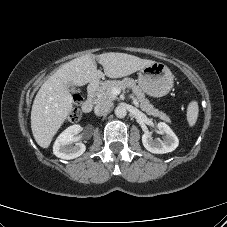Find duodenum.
<instances>
[{"instance_id":"1","label":"duodenum","mask_w":227,"mask_h":227,"mask_svg":"<svg viewBox=\"0 0 227 227\" xmlns=\"http://www.w3.org/2000/svg\"><path fill=\"white\" fill-rule=\"evenodd\" d=\"M99 83L100 79H95L89 84L87 88L86 98L82 105L83 112L89 113L92 110L95 101L96 90Z\"/></svg>"}]
</instances>
